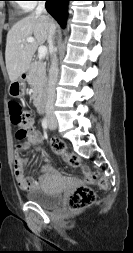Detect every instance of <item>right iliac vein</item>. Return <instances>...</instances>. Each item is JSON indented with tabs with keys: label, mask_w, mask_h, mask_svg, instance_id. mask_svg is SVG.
Returning <instances> with one entry per match:
<instances>
[{
	"label": "right iliac vein",
	"mask_w": 133,
	"mask_h": 253,
	"mask_svg": "<svg viewBox=\"0 0 133 253\" xmlns=\"http://www.w3.org/2000/svg\"><path fill=\"white\" fill-rule=\"evenodd\" d=\"M49 124H50L52 127H54V128H57V127H58V123H57L56 120H50V121H49Z\"/></svg>",
	"instance_id": "obj_1"
}]
</instances>
